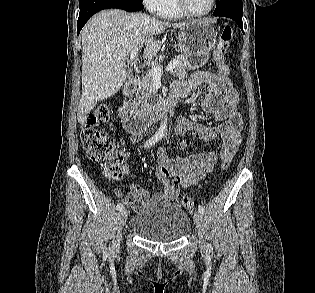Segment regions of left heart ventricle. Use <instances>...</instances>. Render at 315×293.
Returning <instances> with one entry per match:
<instances>
[{"mask_svg": "<svg viewBox=\"0 0 315 293\" xmlns=\"http://www.w3.org/2000/svg\"><path fill=\"white\" fill-rule=\"evenodd\" d=\"M211 0H187L189 9L196 13L206 11L210 6Z\"/></svg>", "mask_w": 315, "mask_h": 293, "instance_id": "b2bd125f", "label": "left heart ventricle"}]
</instances>
